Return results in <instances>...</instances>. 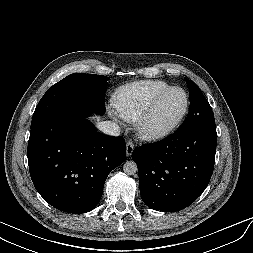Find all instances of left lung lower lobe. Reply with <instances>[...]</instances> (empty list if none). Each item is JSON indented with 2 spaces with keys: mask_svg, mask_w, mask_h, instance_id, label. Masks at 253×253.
<instances>
[{
  "mask_svg": "<svg viewBox=\"0 0 253 253\" xmlns=\"http://www.w3.org/2000/svg\"><path fill=\"white\" fill-rule=\"evenodd\" d=\"M217 133L215 123L189 130L177 129L168 138L137 147L144 203L154 210L174 212L192 204L207 187L213 173Z\"/></svg>",
  "mask_w": 253,
  "mask_h": 253,
  "instance_id": "1",
  "label": "left lung lower lobe"
}]
</instances>
